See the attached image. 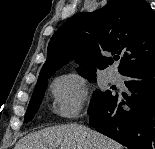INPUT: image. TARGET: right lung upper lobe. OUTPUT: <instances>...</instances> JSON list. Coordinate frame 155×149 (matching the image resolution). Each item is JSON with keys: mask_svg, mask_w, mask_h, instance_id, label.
I'll use <instances>...</instances> for the list:
<instances>
[{"mask_svg": "<svg viewBox=\"0 0 155 149\" xmlns=\"http://www.w3.org/2000/svg\"><path fill=\"white\" fill-rule=\"evenodd\" d=\"M103 50L122 54L118 71L155 65V14L145 0H108L92 13H78L52 36L47 60L38 80L50 77L70 59L82 64L83 71H96L112 65L113 58ZM114 55V59H115Z\"/></svg>", "mask_w": 155, "mask_h": 149, "instance_id": "1", "label": "right lung upper lobe"}]
</instances>
